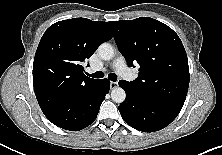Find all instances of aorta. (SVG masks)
Instances as JSON below:
<instances>
[{
	"label": "aorta",
	"mask_w": 222,
	"mask_h": 155,
	"mask_svg": "<svg viewBox=\"0 0 222 155\" xmlns=\"http://www.w3.org/2000/svg\"><path fill=\"white\" fill-rule=\"evenodd\" d=\"M98 54L102 59L110 60L114 56V49L111 44L102 43L98 47ZM111 98L116 103H122L126 98V93L121 87H116L111 91Z\"/></svg>",
	"instance_id": "762f6f07"
}]
</instances>
